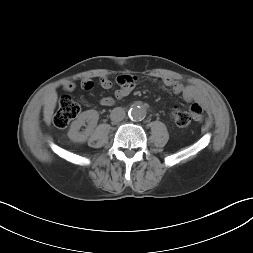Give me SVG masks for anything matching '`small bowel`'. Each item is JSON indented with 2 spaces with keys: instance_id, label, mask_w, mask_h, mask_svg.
Instances as JSON below:
<instances>
[{
  "instance_id": "small-bowel-1",
  "label": "small bowel",
  "mask_w": 253,
  "mask_h": 253,
  "mask_svg": "<svg viewBox=\"0 0 253 253\" xmlns=\"http://www.w3.org/2000/svg\"><path fill=\"white\" fill-rule=\"evenodd\" d=\"M99 83L103 89H110L112 87L111 80L106 76H102ZM117 83L119 84V88L115 91L114 97L106 96L100 99V104L102 106H112L115 104L116 100L126 97L133 89L135 79L129 75H121L118 76ZM160 83L165 87L171 88L174 94L181 95L186 102L192 103L191 112L194 119L197 121L202 120L205 100L194 86L183 85L181 82L168 77L161 79ZM93 86L94 82L90 78H84L81 81V87L85 90H90ZM75 87V83L71 81H68L63 85L64 90L69 92L73 91Z\"/></svg>"
}]
</instances>
